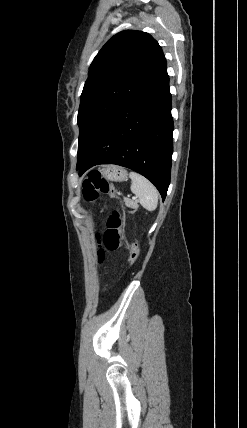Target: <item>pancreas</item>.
<instances>
[{"instance_id":"obj_1","label":"pancreas","mask_w":247,"mask_h":428,"mask_svg":"<svg viewBox=\"0 0 247 428\" xmlns=\"http://www.w3.org/2000/svg\"><path fill=\"white\" fill-rule=\"evenodd\" d=\"M124 202H125V205L127 207H130V208H133V209H137L138 208L137 202L132 201L131 199H128V198L124 197Z\"/></svg>"}]
</instances>
